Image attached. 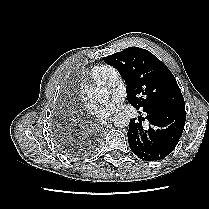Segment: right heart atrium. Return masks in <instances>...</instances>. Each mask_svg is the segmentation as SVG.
<instances>
[{
	"instance_id": "1",
	"label": "right heart atrium",
	"mask_w": 209,
	"mask_h": 209,
	"mask_svg": "<svg viewBox=\"0 0 209 209\" xmlns=\"http://www.w3.org/2000/svg\"><path fill=\"white\" fill-rule=\"evenodd\" d=\"M80 97H81V100H82L83 102L86 101L85 91H84V90H81Z\"/></svg>"
}]
</instances>
